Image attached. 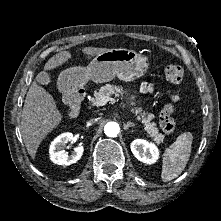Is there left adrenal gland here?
Instances as JSON below:
<instances>
[{
    "label": "left adrenal gland",
    "instance_id": "a2214340",
    "mask_svg": "<svg viewBox=\"0 0 221 221\" xmlns=\"http://www.w3.org/2000/svg\"><path fill=\"white\" fill-rule=\"evenodd\" d=\"M124 130H128L130 127H134L135 124L133 122H127V123H124Z\"/></svg>",
    "mask_w": 221,
    "mask_h": 221
}]
</instances>
